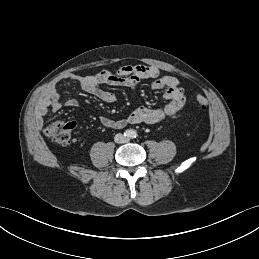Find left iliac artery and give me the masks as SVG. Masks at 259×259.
<instances>
[{
	"label": "left iliac artery",
	"instance_id": "obj_1",
	"mask_svg": "<svg viewBox=\"0 0 259 259\" xmlns=\"http://www.w3.org/2000/svg\"><path fill=\"white\" fill-rule=\"evenodd\" d=\"M132 137L136 138L137 137V133L135 131L132 132Z\"/></svg>",
	"mask_w": 259,
	"mask_h": 259
}]
</instances>
